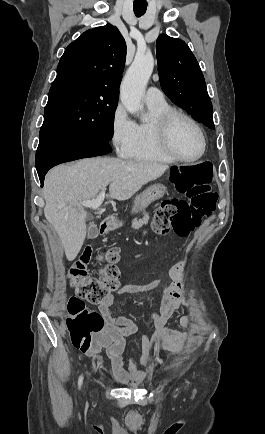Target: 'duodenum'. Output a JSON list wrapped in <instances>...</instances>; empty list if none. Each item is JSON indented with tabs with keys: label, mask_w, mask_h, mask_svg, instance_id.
<instances>
[{
	"label": "duodenum",
	"mask_w": 265,
	"mask_h": 434,
	"mask_svg": "<svg viewBox=\"0 0 265 434\" xmlns=\"http://www.w3.org/2000/svg\"><path fill=\"white\" fill-rule=\"evenodd\" d=\"M114 229V225L111 221H105L101 227H100V231L101 232H111Z\"/></svg>",
	"instance_id": "1"
}]
</instances>
